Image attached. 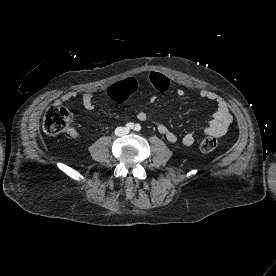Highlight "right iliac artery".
Masks as SVG:
<instances>
[{
    "instance_id": "right-iliac-artery-1",
    "label": "right iliac artery",
    "mask_w": 276,
    "mask_h": 276,
    "mask_svg": "<svg viewBox=\"0 0 276 276\" xmlns=\"http://www.w3.org/2000/svg\"><path fill=\"white\" fill-rule=\"evenodd\" d=\"M133 128H134V124L133 123L129 122V123L126 124V129L127 130H131Z\"/></svg>"
}]
</instances>
